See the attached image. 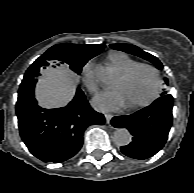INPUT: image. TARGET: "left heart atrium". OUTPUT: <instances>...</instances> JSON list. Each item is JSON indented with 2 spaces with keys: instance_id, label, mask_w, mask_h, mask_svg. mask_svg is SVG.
I'll list each match as a JSON object with an SVG mask.
<instances>
[{
  "instance_id": "left-heart-atrium-1",
  "label": "left heart atrium",
  "mask_w": 194,
  "mask_h": 193,
  "mask_svg": "<svg viewBox=\"0 0 194 193\" xmlns=\"http://www.w3.org/2000/svg\"><path fill=\"white\" fill-rule=\"evenodd\" d=\"M96 108L102 111H116L125 106L122 92L119 89H113L103 92L94 99Z\"/></svg>"
}]
</instances>
